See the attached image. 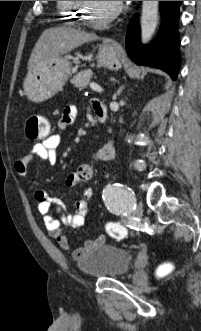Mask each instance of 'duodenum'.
<instances>
[{
    "instance_id": "410a0bca",
    "label": "duodenum",
    "mask_w": 201,
    "mask_h": 331,
    "mask_svg": "<svg viewBox=\"0 0 201 331\" xmlns=\"http://www.w3.org/2000/svg\"><path fill=\"white\" fill-rule=\"evenodd\" d=\"M95 115L100 122H104L106 120V111L103 108H98L95 110Z\"/></svg>"
}]
</instances>
